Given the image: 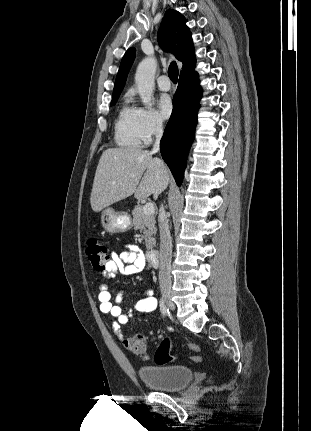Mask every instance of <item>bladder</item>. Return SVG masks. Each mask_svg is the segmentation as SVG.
I'll return each mask as SVG.
<instances>
[{"label": "bladder", "instance_id": "1", "mask_svg": "<svg viewBox=\"0 0 311 431\" xmlns=\"http://www.w3.org/2000/svg\"><path fill=\"white\" fill-rule=\"evenodd\" d=\"M141 381L159 391H177L187 386L193 371L181 364L144 365L138 368Z\"/></svg>", "mask_w": 311, "mask_h": 431}]
</instances>
